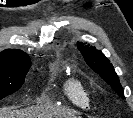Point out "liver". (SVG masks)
I'll list each match as a JSON object with an SVG mask.
<instances>
[{
	"label": "liver",
	"instance_id": "obj_1",
	"mask_svg": "<svg viewBox=\"0 0 133 118\" xmlns=\"http://www.w3.org/2000/svg\"><path fill=\"white\" fill-rule=\"evenodd\" d=\"M78 113L57 106L40 105L22 110H12L4 107L0 109V118H78Z\"/></svg>",
	"mask_w": 133,
	"mask_h": 118
}]
</instances>
